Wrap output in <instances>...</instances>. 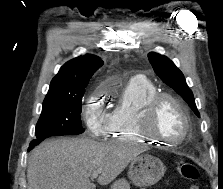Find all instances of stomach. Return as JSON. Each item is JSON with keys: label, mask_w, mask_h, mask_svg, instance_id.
<instances>
[{"label": "stomach", "mask_w": 223, "mask_h": 189, "mask_svg": "<svg viewBox=\"0 0 223 189\" xmlns=\"http://www.w3.org/2000/svg\"><path fill=\"white\" fill-rule=\"evenodd\" d=\"M162 161L149 154L135 157L129 166L128 177L137 186L145 187L158 182L164 175Z\"/></svg>", "instance_id": "1"}]
</instances>
